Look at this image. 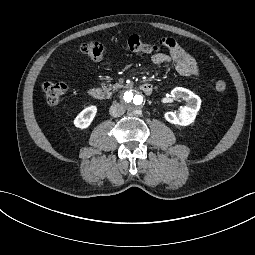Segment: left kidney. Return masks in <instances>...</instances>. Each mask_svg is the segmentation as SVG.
Instances as JSON below:
<instances>
[{"instance_id":"obj_1","label":"left kidney","mask_w":255,"mask_h":255,"mask_svg":"<svg viewBox=\"0 0 255 255\" xmlns=\"http://www.w3.org/2000/svg\"><path fill=\"white\" fill-rule=\"evenodd\" d=\"M171 97L174 99H183L186 101V105L178 113L166 112L164 115L165 119L172 124L181 126H187L194 122L201 105L200 97L183 87L174 88L171 91Z\"/></svg>"}]
</instances>
